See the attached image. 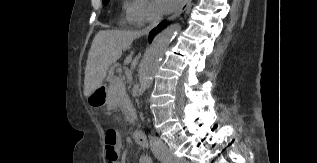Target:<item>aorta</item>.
<instances>
[{"mask_svg":"<svg viewBox=\"0 0 317 163\" xmlns=\"http://www.w3.org/2000/svg\"><path fill=\"white\" fill-rule=\"evenodd\" d=\"M180 29L181 26L179 24H173L157 34L153 39L146 51L140 69V82L143 89L150 88L166 49Z\"/></svg>","mask_w":317,"mask_h":163,"instance_id":"aorta-1","label":"aorta"}]
</instances>
